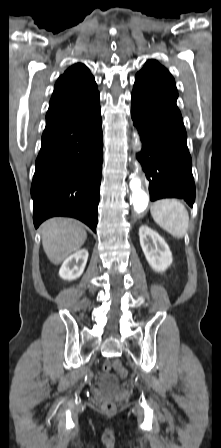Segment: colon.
Here are the masks:
<instances>
[{"mask_svg": "<svg viewBox=\"0 0 221 448\" xmlns=\"http://www.w3.org/2000/svg\"><path fill=\"white\" fill-rule=\"evenodd\" d=\"M102 369L105 373L115 370L122 378H126L128 376V371L122 366L121 362L118 360L104 362ZM102 410L104 413L112 415L116 413L117 407L113 401L108 400L102 404Z\"/></svg>", "mask_w": 221, "mask_h": 448, "instance_id": "1", "label": "colon"}]
</instances>
